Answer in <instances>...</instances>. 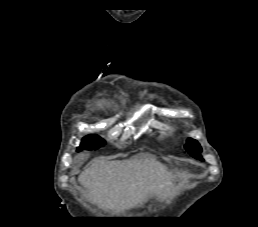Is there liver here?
<instances>
[{"mask_svg":"<svg viewBox=\"0 0 258 227\" xmlns=\"http://www.w3.org/2000/svg\"><path fill=\"white\" fill-rule=\"evenodd\" d=\"M85 156L81 153L76 159ZM174 179L173 172L154 158L122 161L99 158L79 176L89 200L116 214L141 205L152 196L169 195Z\"/></svg>","mask_w":258,"mask_h":227,"instance_id":"1","label":"liver"}]
</instances>
